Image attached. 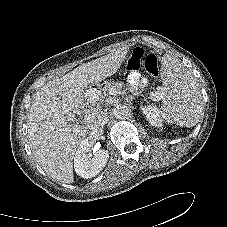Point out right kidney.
Instances as JSON below:
<instances>
[{"label": "right kidney", "mask_w": 227, "mask_h": 227, "mask_svg": "<svg viewBox=\"0 0 227 227\" xmlns=\"http://www.w3.org/2000/svg\"><path fill=\"white\" fill-rule=\"evenodd\" d=\"M94 144L91 141L84 140L81 142L74 157L75 172L82 178L88 179L95 177L105 167L109 153L104 149H93ZM93 157L91 158V151Z\"/></svg>", "instance_id": "obj_1"}]
</instances>
